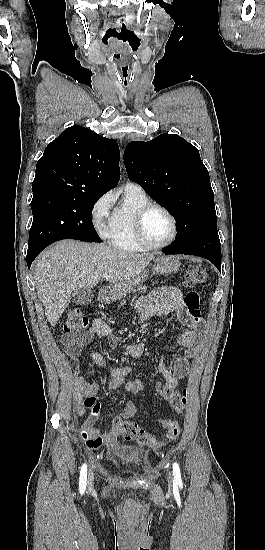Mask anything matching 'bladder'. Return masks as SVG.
I'll list each match as a JSON object with an SVG mask.
<instances>
[{
	"mask_svg": "<svg viewBox=\"0 0 265 550\" xmlns=\"http://www.w3.org/2000/svg\"><path fill=\"white\" fill-rule=\"evenodd\" d=\"M112 464L129 472H137L148 462L149 453L139 446L112 444L107 450Z\"/></svg>",
	"mask_w": 265,
	"mask_h": 550,
	"instance_id": "bladder-1",
	"label": "bladder"
}]
</instances>
